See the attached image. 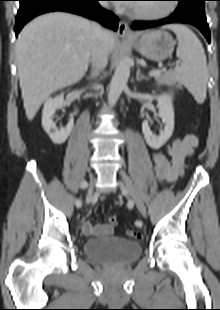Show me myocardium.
I'll return each mask as SVG.
<instances>
[{
    "label": "myocardium",
    "mask_w": 220,
    "mask_h": 310,
    "mask_svg": "<svg viewBox=\"0 0 220 310\" xmlns=\"http://www.w3.org/2000/svg\"><path fill=\"white\" fill-rule=\"evenodd\" d=\"M175 10V6L168 3L164 4L157 12H148L145 10L134 9L131 11V15L137 19L142 20H158L169 16Z\"/></svg>",
    "instance_id": "1"
}]
</instances>
